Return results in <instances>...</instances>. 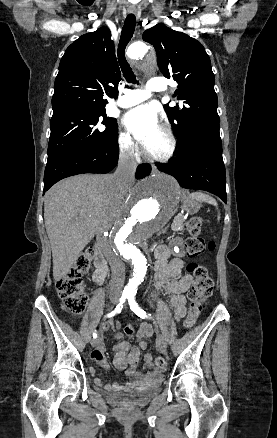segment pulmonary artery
Returning a JSON list of instances; mask_svg holds the SVG:
<instances>
[{
    "instance_id": "e3ab8cb5",
    "label": "pulmonary artery",
    "mask_w": 277,
    "mask_h": 438,
    "mask_svg": "<svg viewBox=\"0 0 277 438\" xmlns=\"http://www.w3.org/2000/svg\"><path fill=\"white\" fill-rule=\"evenodd\" d=\"M173 80H163L162 76H155L153 81L143 87H124L123 95L127 96L119 101V105L125 108L137 105L145 100V96H149L152 90H165L166 86H172Z\"/></svg>"
}]
</instances>
